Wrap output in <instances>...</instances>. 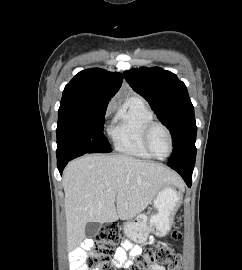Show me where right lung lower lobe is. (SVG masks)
I'll return each mask as SVG.
<instances>
[{"label": "right lung lower lobe", "mask_w": 242, "mask_h": 270, "mask_svg": "<svg viewBox=\"0 0 242 270\" xmlns=\"http://www.w3.org/2000/svg\"><path fill=\"white\" fill-rule=\"evenodd\" d=\"M70 160H71V159H66V160L57 162V166H58L59 172H60L61 174H62V171H63L64 167L66 166V164H67Z\"/></svg>", "instance_id": "1"}]
</instances>
